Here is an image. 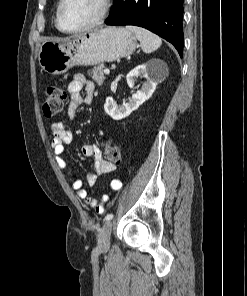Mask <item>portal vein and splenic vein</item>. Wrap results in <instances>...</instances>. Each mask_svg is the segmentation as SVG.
<instances>
[{
    "instance_id": "obj_1",
    "label": "portal vein and splenic vein",
    "mask_w": 247,
    "mask_h": 296,
    "mask_svg": "<svg viewBox=\"0 0 247 296\" xmlns=\"http://www.w3.org/2000/svg\"><path fill=\"white\" fill-rule=\"evenodd\" d=\"M104 73L105 74H109L110 73V70L108 68L104 69Z\"/></svg>"
}]
</instances>
